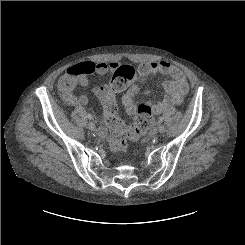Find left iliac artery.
I'll return each instance as SVG.
<instances>
[{
    "label": "left iliac artery",
    "instance_id": "obj_1",
    "mask_svg": "<svg viewBox=\"0 0 245 245\" xmlns=\"http://www.w3.org/2000/svg\"><path fill=\"white\" fill-rule=\"evenodd\" d=\"M163 120H164V118L161 116V117H159V123H162L163 122Z\"/></svg>",
    "mask_w": 245,
    "mask_h": 245
}]
</instances>
